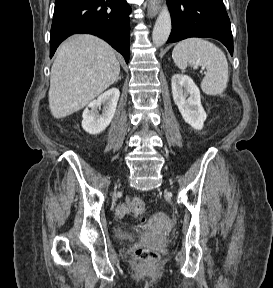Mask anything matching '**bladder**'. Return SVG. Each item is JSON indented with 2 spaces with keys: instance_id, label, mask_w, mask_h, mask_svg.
I'll list each match as a JSON object with an SVG mask.
<instances>
[{
  "instance_id": "bladder-1",
  "label": "bladder",
  "mask_w": 273,
  "mask_h": 288,
  "mask_svg": "<svg viewBox=\"0 0 273 288\" xmlns=\"http://www.w3.org/2000/svg\"><path fill=\"white\" fill-rule=\"evenodd\" d=\"M114 236L117 241L141 240L148 238V233L138 229L116 228Z\"/></svg>"
}]
</instances>
